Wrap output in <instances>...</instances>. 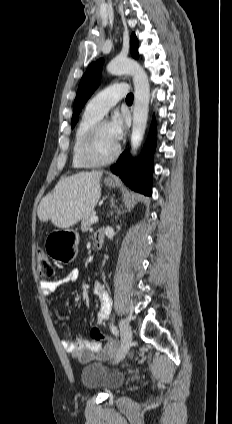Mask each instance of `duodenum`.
<instances>
[{
    "label": "duodenum",
    "mask_w": 232,
    "mask_h": 424,
    "mask_svg": "<svg viewBox=\"0 0 232 424\" xmlns=\"http://www.w3.org/2000/svg\"><path fill=\"white\" fill-rule=\"evenodd\" d=\"M98 233H100V234H98ZM103 243H104V234H103V232L99 231L95 235V247L97 249H100L103 246Z\"/></svg>",
    "instance_id": "duodenum-1"
}]
</instances>
